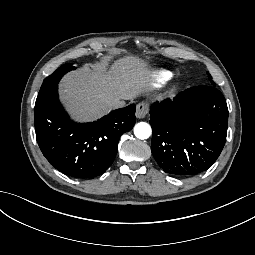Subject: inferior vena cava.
Segmentation results:
<instances>
[{
	"mask_svg": "<svg viewBox=\"0 0 255 255\" xmlns=\"http://www.w3.org/2000/svg\"><path fill=\"white\" fill-rule=\"evenodd\" d=\"M110 107L112 108H118V107H123L124 103L120 99H113L110 101Z\"/></svg>",
	"mask_w": 255,
	"mask_h": 255,
	"instance_id": "1",
	"label": "inferior vena cava"
}]
</instances>
